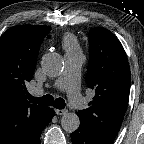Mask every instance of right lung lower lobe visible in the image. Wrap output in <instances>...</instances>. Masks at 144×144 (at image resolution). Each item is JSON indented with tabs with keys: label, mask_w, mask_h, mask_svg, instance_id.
Masks as SVG:
<instances>
[{
	"label": "right lung lower lobe",
	"mask_w": 144,
	"mask_h": 144,
	"mask_svg": "<svg viewBox=\"0 0 144 144\" xmlns=\"http://www.w3.org/2000/svg\"><path fill=\"white\" fill-rule=\"evenodd\" d=\"M54 115H55L54 110L49 108L46 118L38 126V128L30 136V138L25 142V144H40V136H41L42 130L50 123Z\"/></svg>",
	"instance_id": "obj_1"
}]
</instances>
